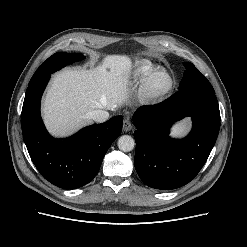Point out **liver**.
<instances>
[{
    "label": "liver",
    "mask_w": 247,
    "mask_h": 247,
    "mask_svg": "<svg viewBox=\"0 0 247 247\" xmlns=\"http://www.w3.org/2000/svg\"><path fill=\"white\" fill-rule=\"evenodd\" d=\"M131 59L108 55L91 69L58 72L43 101V119L52 135L65 136L89 123L95 109L115 110L125 99Z\"/></svg>",
    "instance_id": "obj_1"
}]
</instances>
